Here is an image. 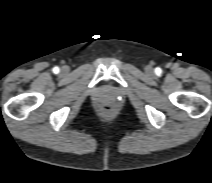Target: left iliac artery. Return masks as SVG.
I'll return each instance as SVG.
<instances>
[{
  "mask_svg": "<svg viewBox=\"0 0 212 183\" xmlns=\"http://www.w3.org/2000/svg\"><path fill=\"white\" fill-rule=\"evenodd\" d=\"M161 72V69L160 68H157V73H160Z\"/></svg>",
  "mask_w": 212,
  "mask_h": 183,
  "instance_id": "left-iliac-artery-1",
  "label": "left iliac artery"
}]
</instances>
